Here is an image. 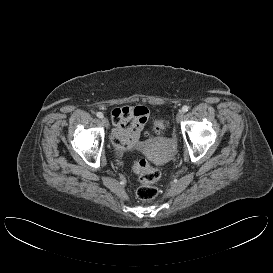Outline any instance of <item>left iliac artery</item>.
I'll use <instances>...</instances> for the list:
<instances>
[{"label": "left iliac artery", "mask_w": 273, "mask_h": 273, "mask_svg": "<svg viewBox=\"0 0 273 273\" xmlns=\"http://www.w3.org/2000/svg\"><path fill=\"white\" fill-rule=\"evenodd\" d=\"M188 110H189V106L184 105V106L182 107V111H183V112H187Z\"/></svg>", "instance_id": "44dca946"}]
</instances>
